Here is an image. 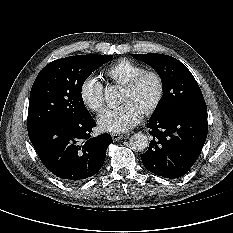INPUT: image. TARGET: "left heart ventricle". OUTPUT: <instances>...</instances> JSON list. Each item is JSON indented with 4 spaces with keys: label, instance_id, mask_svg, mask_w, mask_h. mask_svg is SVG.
<instances>
[{
    "label": "left heart ventricle",
    "instance_id": "left-heart-ventricle-1",
    "mask_svg": "<svg viewBox=\"0 0 233 233\" xmlns=\"http://www.w3.org/2000/svg\"><path fill=\"white\" fill-rule=\"evenodd\" d=\"M157 91L156 82L148 78L146 79L138 89L134 91L125 90L123 94V104H133L135 105L140 111H144L145 108L151 103L154 99Z\"/></svg>",
    "mask_w": 233,
    "mask_h": 233
}]
</instances>
